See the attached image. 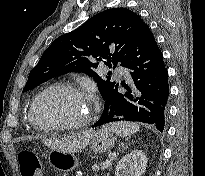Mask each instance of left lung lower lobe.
Here are the masks:
<instances>
[{"mask_svg":"<svg viewBox=\"0 0 205 176\" xmlns=\"http://www.w3.org/2000/svg\"><path fill=\"white\" fill-rule=\"evenodd\" d=\"M130 70L133 86L125 82L126 91L119 93L118 84L105 97L106 103L100 120L91 127L116 121H140L164 130L169 97L168 72L153 34L148 25L121 61Z\"/></svg>","mask_w":205,"mask_h":176,"instance_id":"obj_1","label":"left lung lower lobe"}]
</instances>
